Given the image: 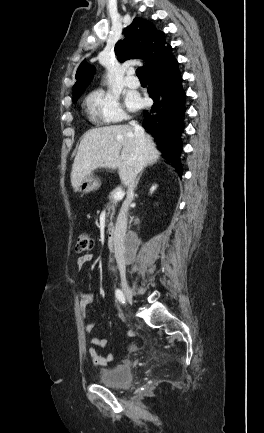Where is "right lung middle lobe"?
<instances>
[{"mask_svg":"<svg viewBox=\"0 0 264 433\" xmlns=\"http://www.w3.org/2000/svg\"><path fill=\"white\" fill-rule=\"evenodd\" d=\"M77 100H78V98L74 99V100H73V103H75Z\"/></svg>","mask_w":264,"mask_h":433,"instance_id":"right-lung-middle-lobe-1","label":"right lung middle lobe"}]
</instances>
